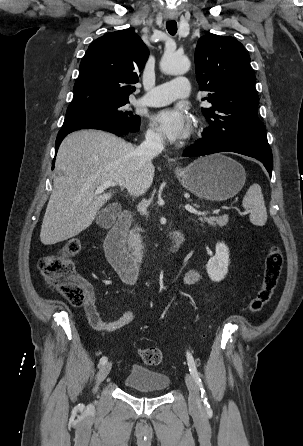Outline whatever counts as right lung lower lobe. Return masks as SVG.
Wrapping results in <instances>:
<instances>
[{
	"label": "right lung lower lobe",
	"instance_id": "1",
	"mask_svg": "<svg viewBox=\"0 0 303 446\" xmlns=\"http://www.w3.org/2000/svg\"><path fill=\"white\" fill-rule=\"evenodd\" d=\"M80 129H98V130H105L109 131L111 133H114L118 136H124L127 134L134 133L133 131H130L126 129L125 127L121 126L120 124L114 123L112 121L107 120H101V119H88L76 122L74 124L62 127V129L59 131L57 138H56V146H55V152H57L60 143L64 139L65 136H67L69 133L80 130ZM54 162L52 168H54Z\"/></svg>",
	"mask_w": 303,
	"mask_h": 446
}]
</instances>
